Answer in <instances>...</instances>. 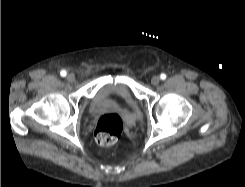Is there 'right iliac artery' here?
<instances>
[{
  "label": "right iliac artery",
  "mask_w": 245,
  "mask_h": 187,
  "mask_svg": "<svg viewBox=\"0 0 245 187\" xmlns=\"http://www.w3.org/2000/svg\"><path fill=\"white\" fill-rule=\"evenodd\" d=\"M60 75H61L62 77H65V76L67 75V72H66L65 70H62V71L60 72Z\"/></svg>",
  "instance_id": "1"
}]
</instances>
